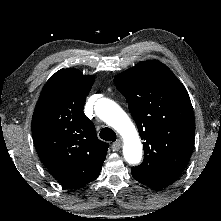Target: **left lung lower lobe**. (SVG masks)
Wrapping results in <instances>:
<instances>
[{"label": "left lung lower lobe", "mask_w": 221, "mask_h": 221, "mask_svg": "<svg viewBox=\"0 0 221 221\" xmlns=\"http://www.w3.org/2000/svg\"><path fill=\"white\" fill-rule=\"evenodd\" d=\"M168 185H163V184H158V185H151L149 187L153 188V189H161L164 187H167Z\"/></svg>", "instance_id": "left-lung-lower-lobe-1"}]
</instances>
